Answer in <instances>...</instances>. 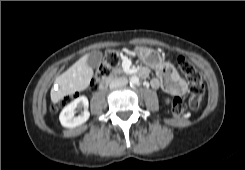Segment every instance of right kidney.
Segmentation results:
<instances>
[{"instance_id":"obj_1","label":"right kidney","mask_w":245,"mask_h":170,"mask_svg":"<svg viewBox=\"0 0 245 170\" xmlns=\"http://www.w3.org/2000/svg\"><path fill=\"white\" fill-rule=\"evenodd\" d=\"M88 99L86 96H80L63 108L59 115V120L62 126L74 128L85 123L90 113L88 111ZM79 115H76L77 109H82Z\"/></svg>"}]
</instances>
